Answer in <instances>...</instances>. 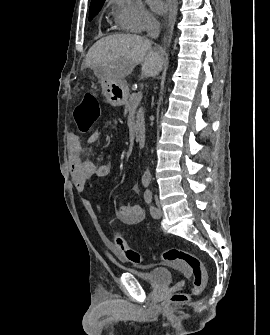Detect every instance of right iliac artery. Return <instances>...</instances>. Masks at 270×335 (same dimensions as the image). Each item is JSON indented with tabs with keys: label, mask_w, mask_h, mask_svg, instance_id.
Returning a JSON list of instances; mask_svg holds the SVG:
<instances>
[{
	"label": "right iliac artery",
	"mask_w": 270,
	"mask_h": 335,
	"mask_svg": "<svg viewBox=\"0 0 270 335\" xmlns=\"http://www.w3.org/2000/svg\"><path fill=\"white\" fill-rule=\"evenodd\" d=\"M142 183H143V186L144 187H148L149 183H150V180L149 179H143L142 180Z\"/></svg>",
	"instance_id": "1"
}]
</instances>
